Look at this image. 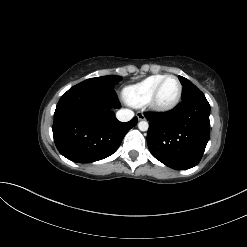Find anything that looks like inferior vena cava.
<instances>
[{
    "mask_svg": "<svg viewBox=\"0 0 247 247\" xmlns=\"http://www.w3.org/2000/svg\"><path fill=\"white\" fill-rule=\"evenodd\" d=\"M116 117L121 122H127L134 117V112L129 109H121L116 113Z\"/></svg>",
    "mask_w": 247,
    "mask_h": 247,
    "instance_id": "obj_1",
    "label": "inferior vena cava"
}]
</instances>
